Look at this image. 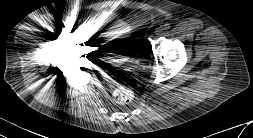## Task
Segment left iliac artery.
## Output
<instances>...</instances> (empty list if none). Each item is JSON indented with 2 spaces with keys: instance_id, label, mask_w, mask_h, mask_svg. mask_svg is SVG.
I'll return each instance as SVG.
<instances>
[{
  "instance_id": "44dca946",
  "label": "left iliac artery",
  "mask_w": 253,
  "mask_h": 138,
  "mask_svg": "<svg viewBox=\"0 0 253 138\" xmlns=\"http://www.w3.org/2000/svg\"><path fill=\"white\" fill-rule=\"evenodd\" d=\"M170 28V24H165L164 25V29H169Z\"/></svg>"
}]
</instances>
